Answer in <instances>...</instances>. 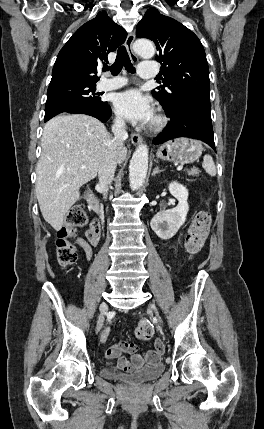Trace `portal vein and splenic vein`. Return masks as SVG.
<instances>
[{"label": "portal vein and splenic vein", "instance_id": "portal-vein-and-splenic-vein-1", "mask_svg": "<svg viewBox=\"0 0 264 429\" xmlns=\"http://www.w3.org/2000/svg\"><path fill=\"white\" fill-rule=\"evenodd\" d=\"M81 168L82 169H86V167L85 166H81ZM183 169V165H179L178 167H177V171H180V170H182Z\"/></svg>", "mask_w": 264, "mask_h": 429}]
</instances>
